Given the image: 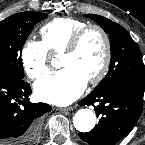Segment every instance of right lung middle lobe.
Returning <instances> with one entry per match:
<instances>
[{"label":"right lung middle lobe","instance_id":"obj_1","mask_svg":"<svg viewBox=\"0 0 145 145\" xmlns=\"http://www.w3.org/2000/svg\"><path fill=\"white\" fill-rule=\"evenodd\" d=\"M47 14L22 12L0 22V79L24 78L20 52L33 27Z\"/></svg>","mask_w":145,"mask_h":145}]
</instances>
